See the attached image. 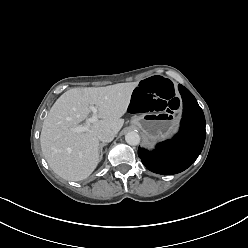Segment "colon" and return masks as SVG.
Instances as JSON below:
<instances>
[{
	"mask_svg": "<svg viewBox=\"0 0 248 248\" xmlns=\"http://www.w3.org/2000/svg\"><path fill=\"white\" fill-rule=\"evenodd\" d=\"M179 106L180 100L175 95L173 85L160 77L147 79L137 85L128 103L132 113L166 112L176 110Z\"/></svg>",
	"mask_w": 248,
	"mask_h": 248,
	"instance_id": "obj_1",
	"label": "colon"
}]
</instances>
